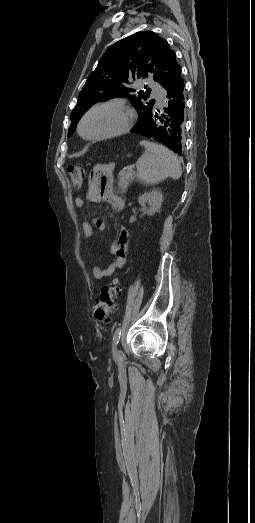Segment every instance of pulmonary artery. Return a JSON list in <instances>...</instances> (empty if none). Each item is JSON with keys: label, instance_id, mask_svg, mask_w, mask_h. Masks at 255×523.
<instances>
[{"label": "pulmonary artery", "instance_id": "1", "mask_svg": "<svg viewBox=\"0 0 255 523\" xmlns=\"http://www.w3.org/2000/svg\"><path fill=\"white\" fill-rule=\"evenodd\" d=\"M151 93L149 95V98L152 102V105L154 108L159 109L163 105V100L165 98V95L162 90V84L158 82L156 79H153L151 81ZM147 88H150V85H147Z\"/></svg>", "mask_w": 255, "mask_h": 523}]
</instances>
